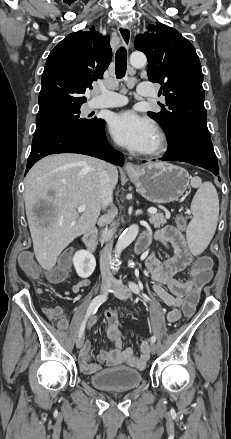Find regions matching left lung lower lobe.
<instances>
[{"mask_svg": "<svg viewBox=\"0 0 231 439\" xmlns=\"http://www.w3.org/2000/svg\"><path fill=\"white\" fill-rule=\"evenodd\" d=\"M163 161H181L203 167L219 176V167L210 138L193 134H182L168 141ZM145 162V161H143ZM219 181L220 180V177Z\"/></svg>", "mask_w": 231, "mask_h": 439, "instance_id": "0a47b994", "label": "left lung lower lobe"}]
</instances>
